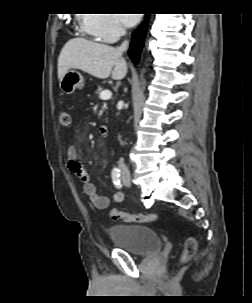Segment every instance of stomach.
<instances>
[{
	"mask_svg": "<svg viewBox=\"0 0 252 303\" xmlns=\"http://www.w3.org/2000/svg\"><path fill=\"white\" fill-rule=\"evenodd\" d=\"M84 86L83 76L76 70H69L59 82V87L63 93L71 94L76 89Z\"/></svg>",
	"mask_w": 252,
	"mask_h": 303,
	"instance_id": "1",
	"label": "stomach"
}]
</instances>
